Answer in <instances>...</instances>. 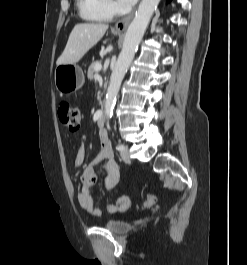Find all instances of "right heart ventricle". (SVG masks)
I'll return each mask as SVG.
<instances>
[{
	"instance_id": "right-heart-ventricle-1",
	"label": "right heart ventricle",
	"mask_w": 247,
	"mask_h": 265,
	"mask_svg": "<svg viewBox=\"0 0 247 265\" xmlns=\"http://www.w3.org/2000/svg\"><path fill=\"white\" fill-rule=\"evenodd\" d=\"M80 14L90 21H108L111 16L107 15L101 8L100 0H77Z\"/></svg>"
}]
</instances>
